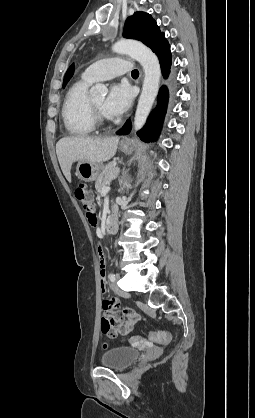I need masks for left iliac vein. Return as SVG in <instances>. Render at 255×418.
I'll list each match as a JSON object with an SVG mask.
<instances>
[{
    "label": "left iliac vein",
    "instance_id": "obj_1",
    "mask_svg": "<svg viewBox=\"0 0 255 418\" xmlns=\"http://www.w3.org/2000/svg\"><path fill=\"white\" fill-rule=\"evenodd\" d=\"M118 278H119V277H116V280H117ZM112 289H113V291H114L116 294H118V295H120V296H123V297H127V296H129V294H128V293L124 292L123 290H121V289L119 288V286L117 285L116 281H114V282H113V284H112Z\"/></svg>",
    "mask_w": 255,
    "mask_h": 418
}]
</instances>
